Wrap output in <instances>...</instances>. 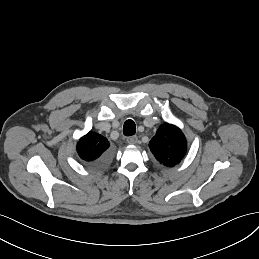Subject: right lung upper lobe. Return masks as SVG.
<instances>
[{
  "label": "right lung upper lobe",
  "instance_id": "right-lung-upper-lobe-1",
  "mask_svg": "<svg viewBox=\"0 0 259 259\" xmlns=\"http://www.w3.org/2000/svg\"><path fill=\"white\" fill-rule=\"evenodd\" d=\"M110 146L107 138L90 131L80 138L77 143V153L85 162H93L97 160Z\"/></svg>",
  "mask_w": 259,
  "mask_h": 259
}]
</instances>
